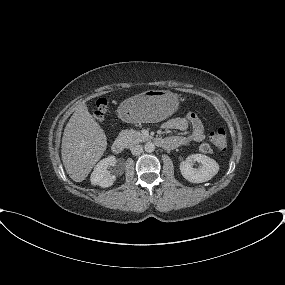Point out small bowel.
Listing matches in <instances>:
<instances>
[{
    "label": "small bowel",
    "instance_id": "c3829d8e",
    "mask_svg": "<svg viewBox=\"0 0 285 285\" xmlns=\"http://www.w3.org/2000/svg\"><path fill=\"white\" fill-rule=\"evenodd\" d=\"M163 128L167 130H179L189 133L182 135L170 136L165 139L166 148L173 149L183 146L191 141L203 142L205 140L204 126L197 114L190 112L185 116L175 117L163 124Z\"/></svg>",
    "mask_w": 285,
    "mask_h": 285
}]
</instances>
